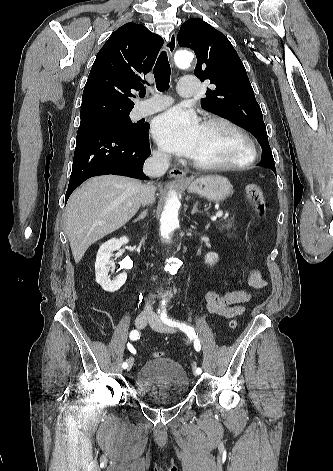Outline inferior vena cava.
Segmentation results:
<instances>
[{"instance_id": "obj_1", "label": "inferior vena cava", "mask_w": 333, "mask_h": 471, "mask_svg": "<svg viewBox=\"0 0 333 471\" xmlns=\"http://www.w3.org/2000/svg\"><path fill=\"white\" fill-rule=\"evenodd\" d=\"M169 161V154L162 151L154 152L153 155L146 160L143 166V171L147 176L151 178H159L163 176L168 170ZM154 194L155 187L152 185V183L144 185L141 193V203L144 205L153 203V201L155 200ZM144 312H152V306L148 301L145 304Z\"/></svg>"}]
</instances>
